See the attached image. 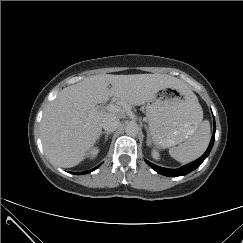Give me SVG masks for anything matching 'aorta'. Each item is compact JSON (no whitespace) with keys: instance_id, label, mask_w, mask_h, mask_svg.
<instances>
[{"instance_id":"762f6f07","label":"aorta","mask_w":243,"mask_h":243,"mask_svg":"<svg viewBox=\"0 0 243 243\" xmlns=\"http://www.w3.org/2000/svg\"><path fill=\"white\" fill-rule=\"evenodd\" d=\"M125 132L129 136H135L139 132V126L135 122H130L125 127Z\"/></svg>"}]
</instances>
